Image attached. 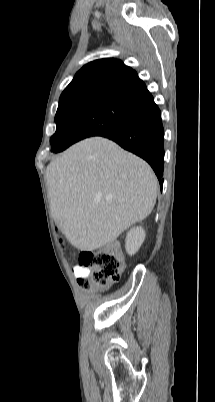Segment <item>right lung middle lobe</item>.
<instances>
[{
  "mask_svg": "<svg viewBox=\"0 0 215 402\" xmlns=\"http://www.w3.org/2000/svg\"><path fill=\"white\" fill-rule=\"evenodd\" d=\"M143 104L105 94H75L59 99L52 152H61L84 138L112 133L127 123Z\"/></svg>",
  "mask_w": 215,
  "mask_h": 402,
  "instance_id": "1",
  "label": "right lung middle lobe"
}]
</instances>
